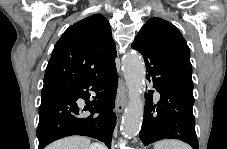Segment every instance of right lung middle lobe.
<instances>
[{
    "label": "right lung middle lobe",
    "mask_w": 227,
    "mask_h": 149,
    "mask_svg": "<svg viewBox=\"0 0 227 149\" xmlns=\"http://www.w3.org/2000/svg\"><path fill=\"white\" fill-rule=\"evenodd\" d=\"M65 87H57V88H48V89H42L41 92V103L45 102L49 98H51L56 93L63 91Z\"/></svg>",
    "instance_id": "obj_1"
}]
</instances>
